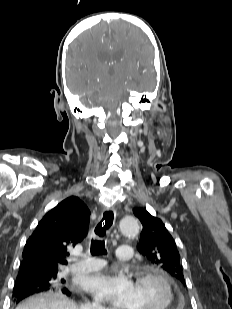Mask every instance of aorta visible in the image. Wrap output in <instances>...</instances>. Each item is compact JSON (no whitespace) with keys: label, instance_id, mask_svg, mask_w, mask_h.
I'll use <instances>...</instances> for the list:
<instances>
[{"label":"aorta","instance_id":"762f6f07","mask_svg":"<svg viewBox=\"0 0 232 309\" xmlns=\"http://www.w3.org/2000/svg\"><path fill=\"white\" fill-rule=\"evenodd\" d=\"M119 226L121 232L126 236H135L139 233L138 220L133 216L123 217L119 222Z\"/></svg>","mask_w":232,"mask_h":309}]
</instances>
